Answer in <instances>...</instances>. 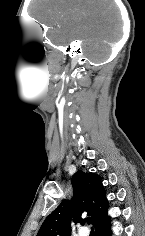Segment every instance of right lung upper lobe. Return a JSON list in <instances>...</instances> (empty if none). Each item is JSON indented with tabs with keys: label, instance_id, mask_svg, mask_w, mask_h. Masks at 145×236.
<instances>
[{
	"label": "right lung upper lobe",
	"instance_id": "right-lung-upper-lobe-1",
	"mask_svg": "<svg viewBox=\"0 0 145 236\" xmlns=\"http://www.w3.org/2000/svg\"><path fill=\"white\" fill-rule=\"evenodd\" d=\"M73 197L62 203L44 220L37 236H71V220L84 224L81 214L88 211L93 224L108 213V200L100 176L77 171L72 178Z\"/></svg>",
	"mask_w": 145,
	"mask_h": 236
}]
</instances>
